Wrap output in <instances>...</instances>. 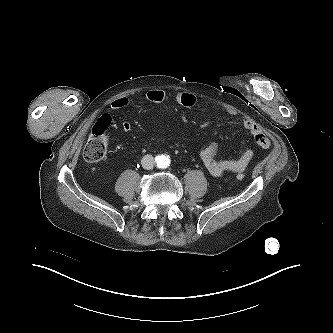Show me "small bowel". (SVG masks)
Instances as JSON below:
<instances>
[{
	"label": "small bowel",
	"mask_w": 333,
	"mask_h": 333,
	"mask_svg": "<svg viewBox=\"0 0 333 333\" xmlns=\"http://www.w3.org/2000/svg\"><path fill=\"white\" fill-rule=\"evenodd\" d=\"M166 99L165 91L161 89H153L146 94H138L133 98L121 97L111 102V107L114 110L128 107L133 102L149 101L152 103H162ZM176 102L180 106L191 108L196 105L197 99L195 95L189 92H180L176 96ZM228 113L233 114L231 110H227ZM243 127L252 135L256 144L262 148L267 149L270 146V140L265 135L260 126L254 122L251 118L245 117L242 121ZM122 128L125 131H131L133 126L128 121L122 122ZM217 144L209 143L204 145L199 151V158L208 170V172L214 177H222L228 173L242 172L250 160L252 159L254 152L251 149H246L242 154L233 160H217Z\"/></svg>",
	"instance_id": "c3829d8e"
}]
</instances>
